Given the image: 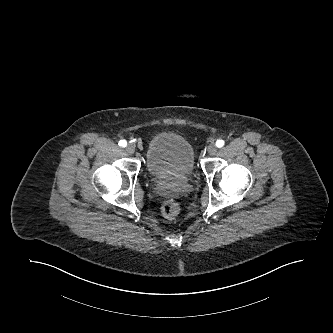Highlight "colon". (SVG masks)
I'll list each match as a JSON object with an SVG mask.
<instances>
[{
    "mask_svg": "<svg viewBox=\"0 0 333 333\" xmlns=\"http://www.w3.org/2000/svg\"><path fill=\"white\" fill-rule=\"evenodd\" d=\"M162 213L168 219H176L180 215V206L173 200H168L162 205Z\"/></svg>",
    "mask_w": 333,
    "mask_h": 333,
    "instance_id": "1",
    "label": "colon"
}]
</instances>
